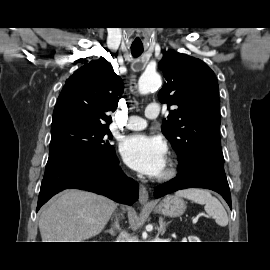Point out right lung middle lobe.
I'll list each match as a JSON object with an SVG mask.
<instances>
[{"instance_id": "obj_1", "label": "right lung middle lobe", "mask_w": 270, "mask_h": 270, "mask_svg": "<svg viewBox=\"0 0 270 270\" xmlns=\"http://www.w3.org/2000/svg\"><path fill=\"white\" fill-rule=\"evenodd\" d=\"M49 157L66 151H93L111 158L114 147L109 144L112 134L108 127L84 123H64L52 127Z\"/></svg>"}]
</instances>
